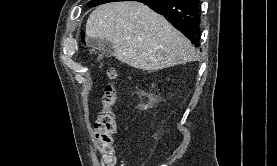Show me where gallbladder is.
I'll list each match as a JSON object with an SVG mask.
<instances>
[{
    "mask_svg": "<svg viewBox=\"0 0 277 166\" xmlns=\"http://www.w3.org/2000/svg\"><path fill=\"white\" fill-rule=\"evenodd\" d=\"M87 43L90 47L99 50L102 54L107 57L113 56V45L110 41L106 39H98V38H89Z\"/></svg>",
    "mask_w": 277,
    "mask_h": 166,
    "instance_id": "gallbladder-1",
    "label": "gallbladder"
}]
</instances>
